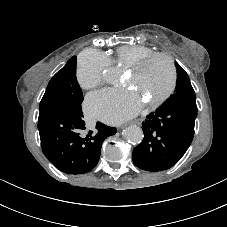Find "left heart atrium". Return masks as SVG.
I'll return each mask as SVG.
<instances>
[{"mask_svg":"<svg viewBox=\"0 0 227 227\" xmlns=\"http://www.w3.org/2000/svg\"><path fill=\"white\" fill-rule=\"evenodd\" d=\"M142 106L141 97L123 88L91 93L85 101V110L90 116L111 124L131 118Z\"/></svg>","mask_w":227,"mask_h":227,"instance_id":"39dd6f15","label":"left heart atrium"}]
</instances>
